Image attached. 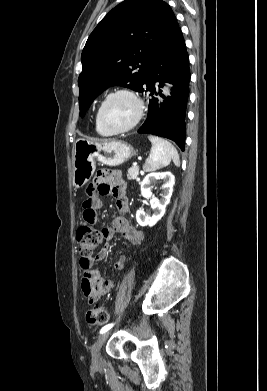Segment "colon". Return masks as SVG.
<instances>
[{
    "mask_svg": "<svg viewBox=\"0 0 267 391\" xmlns=\"http://www.w3.org/2000/svg\"><path fill=\"white\" fill-rule=\"evenodd\" d=\"M76 239L81 259L88 262L102 241V232L89 225H82L76 231ZM85 319L89 325L104 324L108 320V312L104 307L97 305L87 311Z\"/></svg>",
    "mask_w": 267,
    "mask_h": 391,
    "instance_id": "5ec220e1",
    "label": "colon"
}]
</instances>
